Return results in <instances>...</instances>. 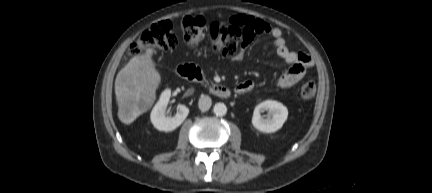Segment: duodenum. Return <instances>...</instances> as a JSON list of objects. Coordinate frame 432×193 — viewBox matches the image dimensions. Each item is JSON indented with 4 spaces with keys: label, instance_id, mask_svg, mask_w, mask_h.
<instances>
[{
    "label": "duodenum",
    "instance_id": "410a0bca",
    "mask_svg": "<svg viewBox=\"0 0 432 193\" xmlns=\"http://www.w3.org/2000/svg\"><path fill=\"white\" fill-rule=\"evenodd\" d=\"M177 74L186 80L205 83V76L203 72L192 64H182L176 68ZM210 91L219 98H228L231 95V91L227 86L219 84H211L209 86Z\"/></svg>",
    "mask_w": 432,
    "mask_h": 193
}]
</instances>
